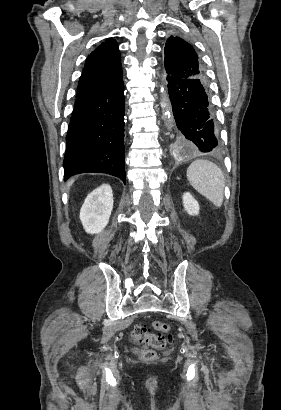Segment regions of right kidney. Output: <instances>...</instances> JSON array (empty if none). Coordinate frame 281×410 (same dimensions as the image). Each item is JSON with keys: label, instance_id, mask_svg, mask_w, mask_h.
<instances>
[{"label": "right kidney", "instance_id": "right-kidney-1", "mask_svg": "<svg viewBox=\"0 0 281 410\" xmlns=\"http://www.w3.org/2000/svg\"><path fill=\"white\" fill-rule=\"evenodd\" d=\"M113 209L112 188L102 184L86 197L80 210V220L89 234L100 233L108 224Z\"/></svg>", "mask_w": 281, "mask_h": 410}]
</instances>
